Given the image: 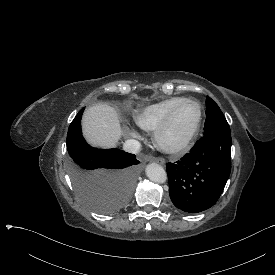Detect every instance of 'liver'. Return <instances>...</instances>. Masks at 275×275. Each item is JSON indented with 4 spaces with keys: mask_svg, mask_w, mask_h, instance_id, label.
<instances>
[{
    "mask_svg": "<svg viewBox=\"0 0 275 275\" xmlns=\"http://www.w3.org/2000/svg\"><path fill=\"white\" fill-rule=\"evenodd\" d=\"M82 129L91 145L104 148L115 147L122 135L117 112L104 104L89 107L84 112Z\"/></svg>",
    "mask_w": 275,
    "mask_h": 275,
    "instance_id": "6515ba94",
    "label": "liver"
}]
</instances>
